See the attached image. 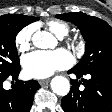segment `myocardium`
<instances>
[{
  "instance_id": "1",
  "label": "myocardium",
  "mask_w": 112,
  "mask_h": 112,
  "mask_svg": "<svg viewBox=\"0 0 112 112\" xmlns=\"http://www.w3.org/2000/svg\"><path fill=\"white\" fill-rule=\"evenodd\" d=\"M67 43L73 49L80 48L83 45V41L80 37L69 38Z\"/></svg>"
}]
</instances>
